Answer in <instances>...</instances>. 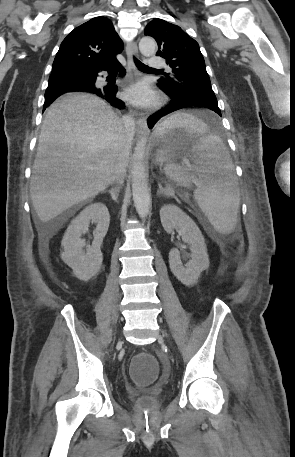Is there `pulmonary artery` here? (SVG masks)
Masks as SVG:
<instances>
[{
	"instance_id": "1",
	"label": "pulmonary artery",
	"mask_w": 295,
	"mask_h": 457,
	"mask_svg": "<svg viewBox=\"0 0 295 457\" xmlns=\"http://www.w3.org/2000/svg\"><path fill=\"white\" fill-rule=\"evenodd\" d=\"M149 66L154 69H162L165 67V62L162 58L153 56L148 60Z\"/></svg>"
}]
</instances>
